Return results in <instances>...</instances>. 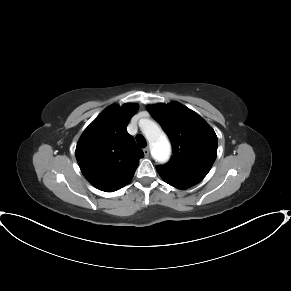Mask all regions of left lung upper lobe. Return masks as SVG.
<instances>
[{"mask_svg": "<svg viewBox=\"0 0 291 291\" xmlns=\"http://www.w3.org/2000/svg\"><path fill=\"white\" fill-rule=\"evenodd\" d=\"M150 114L167 133L173 156L156 170L173 186L191 187L203 180L211 169L217 152L214 130L197 113L179 102L148 106Z\"/></svg>", "mask_w": 291, "mask_h": 291, "instance_id": "5c2ea615", "label": "left lung upper lobe"}]
</instances>
